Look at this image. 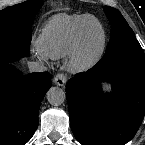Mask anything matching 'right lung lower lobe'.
<instances>
[{"label":"right lung lower lobe","instance_id":"1","mask_svg":"<svg viewBox=\"0 0 145 145\" xmlns=\"http://www.w3.org/2000/svg\"><path fill=\"white\" fill-rule=\"evenodd\" d=\"M50 87L49 73L23 76L11 63H0V145H25L31 139Z\"/></svg>","mask_w":145,"mask_h":145}]
</instances>
